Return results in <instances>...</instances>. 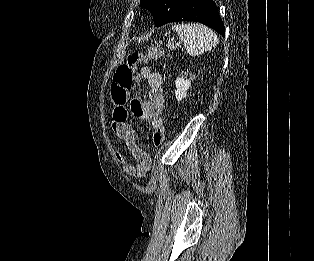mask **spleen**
<instances>
[{
    "instance_id": "spleen-1",
    "label": "spleen",
    "mask_w": 314,
    "mask_h": 261,
    "mask_svg": "<svg viewBox=\"0 0 314 261\" xmlns=\"http://www.w3.org/2000/svg\"><path fill=\"white\" fill-rule=\"evenodd\" d=\"M172 29L178 33L179 39L185 43L186 51L191 56L201 55L218 44L216 33L199 23L178 24Z\"/></svg>"
}]
</instances>
